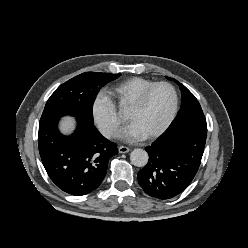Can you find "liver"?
Instances as JSON below:
<instances>
[{
	"mask_svg": "<svg viewBox=\"0 0 248 248\" xmlns=\"http://www.w3.org/2000/svg\"><path fill=\"white\" fill-rule=\"evenodd\" d=\"M60 129L63 133H70L74 129V118H63L60 122Z\"/></svg>",
	"mask_w": 248,
	"mask_h": 248,
	"instance_id": "obj_1",
	"label": "liver"
}]
</instances>
